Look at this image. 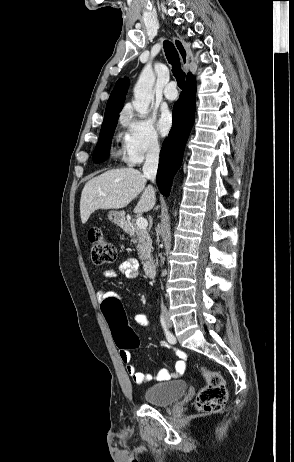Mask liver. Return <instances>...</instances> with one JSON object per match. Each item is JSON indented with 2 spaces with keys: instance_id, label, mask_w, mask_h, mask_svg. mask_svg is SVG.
<instances>
[{
  "instance_id": "6515ba94",
  "label": "liver",
  "mask_w": 294,
  "mask_h": 462,
  "mask_svg": "<svg viewBox=\"0 0 294 462\" xmlns=\"http://www.w3.org/2000/svg\"><path fill=\"white\" fill-rule=\"evenodd\" d=\"M147 179L133 168L113 169L89 180L82 191L80 200L81 221L85 224L90 215L98 210L126 207L140 193L134 208L135 213L150 211L155 205V190L146 187Z\"/></svg>"
}]
</instances>
